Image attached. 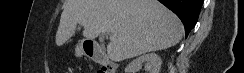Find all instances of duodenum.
<instances>
[{
	"label": "duodenum",
	"instance_id": "obj_1",
	"mask_svg": "<svg viewBox=\"0 0 244 73\" xmlns=\"http://www.w3.org/2000/svg\"><path fill=\"white\" fill-rule=\"evenodd\" d=\"M84 51L87 57L100 65V73H114V68L106 52L99 44L85 42Z\"/></svg>",
	"mask_w": 244,
	"mask_h": 73
}]
</instances>
